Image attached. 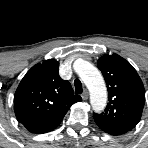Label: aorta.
Here are the masks:
<instances>
[{"label":"aorta","mask_w":148,"mask_h":148,"mask_svg":"<svg viewBox=\"0 0 148 148\" xmlns=\"http://www.w3.org/2000/svg\"><path fill=\"white\" fill-rule=\"evenodd\" d=\"M77 71L89 90L92 108L95 111L103 110L107 102V89L101 73L91 63L84 61Z\"/></svg>","instance_id":"762f6f07"}]
</instances>
